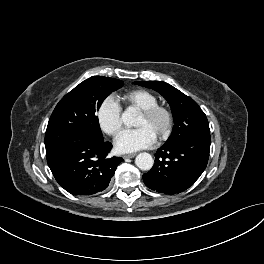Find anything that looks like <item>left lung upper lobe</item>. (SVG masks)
<instances>
[{"instance_id":"obj_1","label":"left lung upper lobe","mask_w":264,"mask_h":264,"mask_svg":"<svg viewBox=\"0 0 264 264\" xmlns=\"http://www.w3.org/2000/svg\"><path fill=\"white\" fill-rule=\"evenodd\" d=\"M134 84L151 88L168 101L175 125L171 136L165 143L180 142L197 135H210L206 115L192 98L166 82L138 81Z\"/></svg>"}]
</instances>
